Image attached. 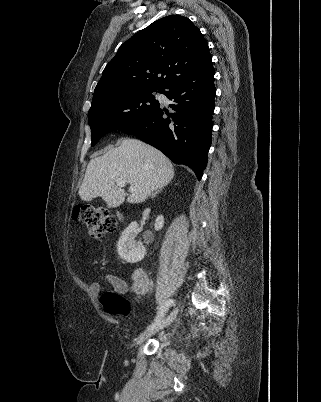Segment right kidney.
<instances>
[{
	"label": "right kidney",
	"instance_id": "obj_1",
	"mask_svg": "<svg viewBox=\"0 0 321 402\" xmlns=\"http://www.w3.org/2000/svg\"><path fill=\"white\" fill-rule=\"evenodd\" d=\"M164 225V217L159 215L155 220V230L159 231ZM139 232L137 222H131L122 232L117 243V253L122 260L127 263H136L141 261L146 249L141 242H136L135 237Z\"/></svg>",
	"mask_w": 321,
	"mask_h": 402
}]
</instances>
